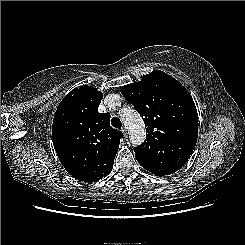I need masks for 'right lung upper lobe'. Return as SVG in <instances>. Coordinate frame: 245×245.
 Here are the masks:
<instances>
[{"mask_svg":"<svg viewBox=\"0 0 245 245\" xmlns=\"http://www.w3.org/2000/svg\"><path fill=\"white\" fill-rule=\"evenodd\" d=\"M101 92L84 85L70 91L56 110L53 145L69 174L94 182L108 175L123 134L110 126V114L99 113Z\"/></svg>","mask_w":245,"mask_h":245,"instance_id":"obj_1","label":"right lung upper lobe"}]
</instances>
